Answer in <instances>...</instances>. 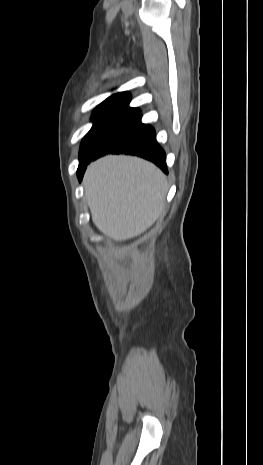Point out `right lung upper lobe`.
Here are the masks:
<instances>
[{
    "mask_svg": "<svg viewBox=\"0 0 263 465\" xmlns=\"http://www.w3.org/2000/svg\"><path fill=\"white\" fill-rule=\"evenodd\" d=\"M106 101H130V95L127 92L116 93L107 98Z\"/></svg>",
    "mask_w": 263,
    "mask_h": 465,
    "instance_id": "right-lung-upper-lobe-1",
    "label": "right lung upper lobe"
}]
</instances>
